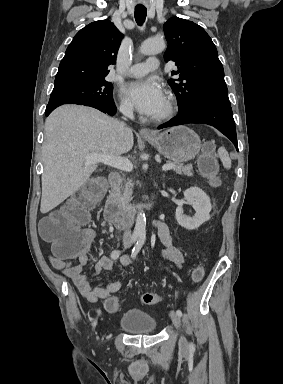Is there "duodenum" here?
I'll return each instance as SVG.
<instances>
[{"instance_id":"1","label":"duodenum","mask_w":283,"mask_h":384,"mask_svg":"<svg viewBox=\"0 0 283 384\" xmlns=\"http://www.w3.org/2000/svg\"><path fill=\"white\" fill-rule=\"evenodd\" d=\"M109 182L113 188H116L121 183V176L118 172H112L109 177ZM156 204L154 197L142 203L140 210L149 211ZM105 220L118 229H126L131 226L134 221L135 213L124 211L115 201L114 194H111L104 206Z\"/></svg>"}]
</instances>
